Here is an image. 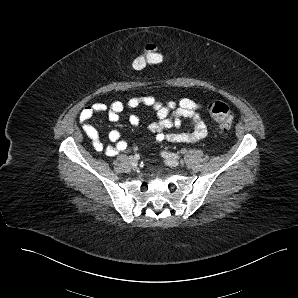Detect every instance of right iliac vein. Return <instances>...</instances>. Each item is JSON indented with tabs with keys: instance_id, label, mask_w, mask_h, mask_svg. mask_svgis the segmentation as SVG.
<instances>
[{
	"instance_id": "63e3f726",
	"label": "right iliac vein",
	"mask_w": 298,
	"mask_h": 298,
	"mask_svg": "<svg viewBox=\"0 0 298 298\" xmlns=\"http://www.w3.org/2000/svg\"><path fill=\"white\" fill-rule=\"evenodd\" d=\"M129 162L131 165H137L138 159H136L135 157L131 156L129 157Z\"/></svg>"
}]
</instances>
